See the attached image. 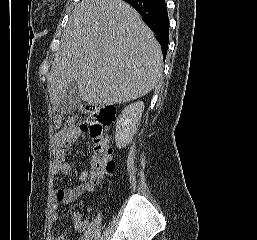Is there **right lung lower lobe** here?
<instances>
[{"label":"right lung lower lobe","instance_id":"right-lung-lower-lobe-1","mask_svg":"<svg viewBox=\"0 0 257 240\" xmlns=\"http://www.w3.org/2000/svg\"><path fill=\"white\" fill-rule=\"evenodd\" d=\"M133 6L156 34L165 59L168 49L169 19L165 0H124Z\"/></svg>","mask_w":257,"mask_h":240}]
</instances>
